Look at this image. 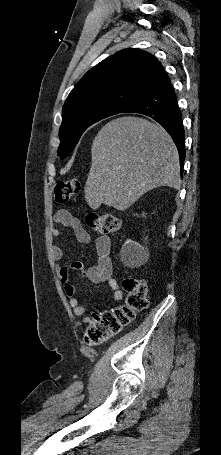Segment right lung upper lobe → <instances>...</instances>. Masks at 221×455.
Listing matches in <instances>:
<instances>
[{
    "mask_svg": "<svg viewBox=\"0 0 221 455\" xmlns=\"http://www.w3.org/2000/svg\"><path fill=\"white\" fill-rule=\"evenodd\" d=\"M163 71L150 53L136 48L121 50L82 77L67 97L62 115L98 102H114L126 108L144 96Z\"/></svg>",
    "mask_w": 221,
    "mask_h": 455,
    "instance_id": "obj_1",
    "label": "right lung upper lobe"
}]
</instances>
